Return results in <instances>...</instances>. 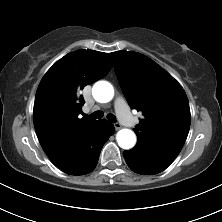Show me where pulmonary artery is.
<instances>
[{
    "label": "pulmonary artery",
    "instance_id": "obj_1",
    "mask_svg": "<svg viewBox=\"0 0 222 222\" xmlns=\"http://www.w3.org/2000/svg\"><path fill=\"white\" fill-rule=\"evenodd\" d=\"M114 106H115L116 113L119 117V120L121 122H123L126 125H131V124L135 123V121L133 119H130L126 116L127 105H126L124 98L118 97L115 100Z\"/></svg>",
    "mask_w": 222,
    "mask_h": 222
}]
</instances>
